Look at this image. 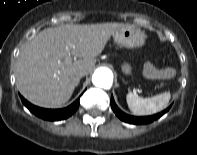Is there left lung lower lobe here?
Listing matches in <instances>:
<instances>
[{
	"instance_id": "obj_1",
	"label": "left lung lower lobe",
	"mask_w": 197,
	"mask_h": 155,
	"mask_svg": "<svg viewBox=\"0 0 197 155\" xmlns=\"http://www.w3.org/2000/svg\"><path fill=\"white\" fill-rule=\"evenodd\" d=\"M111 107L114 111V113L116 114V116L121 119L124 122L130 123V124H147V123H151L154 120H157L158 118H160L163 114H165L170 107H168L167 109H165L164 111H162L161 113L155 114V115H151V116H145V117H135V116H130L128 114H125L124 112H122L116 105V103L114 102L113 96H111Z\"/></svg>"
}]
</instances>
